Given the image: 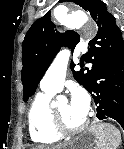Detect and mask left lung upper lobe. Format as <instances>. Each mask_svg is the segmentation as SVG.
<instances>
[{
	"label": "left lung upper lobe",
	"instance_id": "obj_1",
	"mask_svg": "<svg viewBox=\"0 0 124 149\" xmlns=\"http://www.w3.org/2000/svg\"><path fill=\"white\" fill-rule=\"evenodd\" d=\"M72 2L88 11L98 26L96 36L89 41L88 53L81 56L82 62L93 64L92 68H81L80 71L73 72L75 80L87 89L101 64L124 53V39L116 25L115 17L107 11L105 3L101 0H73ZM55 27L49 11L33 23L22 42L21 77L24 101L35 93L41 78L60 48L66 46L73 52L82 40L73 30L60 34L55 31ZM74 67L75 64L72 61L71 69L73 70Z\"/></svg>",
	"mask_w": 124,
	"mask_h": 149
}]
</instances>
